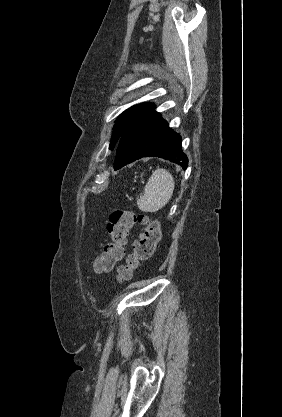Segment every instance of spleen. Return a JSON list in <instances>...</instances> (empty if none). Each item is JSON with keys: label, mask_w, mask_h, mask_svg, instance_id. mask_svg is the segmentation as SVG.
I'll use <instances>...</instances> for the list:
<instances>
[{"label": "spleen", "mask_w": 282, "mask_h": 417, "mask_svg": "<svg viewBox=\"0 0 282 417\" xmlns=\"http://www.w3.org/2000/svg\"><path fill=\"white\" fill-rule=\"evenodd\" d=\"M174 186L172 174L166 168H157L148 178L144 192H141L137 200L138 209L144 213H156L163 209L173 194Z\"/></svg>", "instance_id": "spleen-1"}]
</instances>
